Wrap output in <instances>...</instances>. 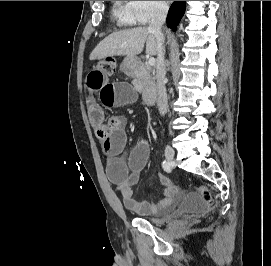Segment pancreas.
<instances>
[{"mask_svg": "<svg viewBox=\"0 0 271 266\" xmlns=\"http://www.w3.org/2000/svg\"><path fill=\"white\" fill-rule=\"evenodd\" d=\"M146 70L148 73L152 72L153 75H154V72L152 70V68L147 65L146 66ZM155 79L154 76H152L150 78V82H153ZM132 84L134 85L135 89L138 91V92H143L144 88H145V80L143 78H135L133 81H132Z\"/></svg>", "mask_w": 271, "mask_h": 266, "instance_id": "pancreas-1", "label": "pancreas"}]
</instances>
